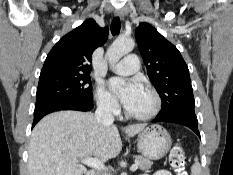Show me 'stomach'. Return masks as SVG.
<instances>
[{
    "label": "stomach",
    "instance_id": "stomach-1",
    "mask_svg": "<svg viewBox=\"0 0 233 175\" xmlns=\"http://www.w3.org/2000/svg\"><path fill=\"white\" fill-rule=\"evenodd\" d=\"M172 145L169 133L160 125H151L143 129L138 135V149L148 159L163 158Z\"/></svg>",
    "mask_w": 233,
    "mask_h": 175
}]
</instances>
